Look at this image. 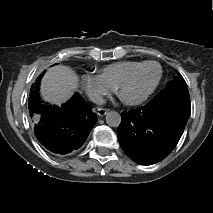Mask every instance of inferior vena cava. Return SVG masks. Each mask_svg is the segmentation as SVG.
Segmentation results:
<instances>
[{"instance_id": "1", "label": "inferior vena cava", "mask_w": 213, "mask_h": 213, "mask_svg": "<svg viewBox=\"0 0 213 213\" xmlns=\"http://www.w3.org/2000/svg\"><path fill=\"white\" fill-rule=\"evenodd\" d=\"M89 99L97 105H102L106 102L102 95L96 93L91 94Z\"/></svg>"}]
</instances>
